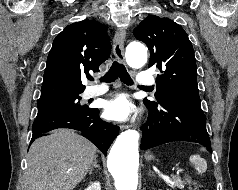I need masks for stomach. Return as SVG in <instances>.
Returning a JSON list of instances; mask_svg holds the SVG:
<instances>
[{
	"label": "stomach",
	"instance_id": "stomach-1",
	"mask_svg": "<svg viewBox=\"0 0 238 190\" xmlns=\"http://www.w3.org/2000/svg\"><path fill=\"white\" fill-rule=\"evenodd\" d=\"M146 159H147V160H153V159H154V156L151 155V154H147V155H146Z\"/></svg>",
	"mask_w": 238,
	"mask_h": 190
}]
</instances>
